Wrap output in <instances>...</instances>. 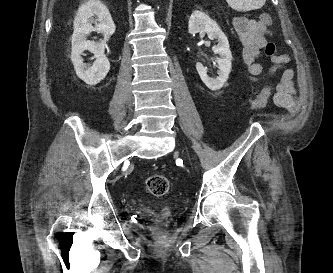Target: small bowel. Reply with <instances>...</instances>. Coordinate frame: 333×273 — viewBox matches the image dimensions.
<instances>
[{"label": "small bowel", "mask_w": 333, "mask_h": 273, "mask_svg": "<svg viewBox=\"0 0 333 273\" xmlns=\"http://www.w3.org/2000/svg\"><path fill=\"white\" fill-rule=\"evenodd\" d=\"M234 27L243 47L242 59L247 68V74L250 80L257 82L267 75H271L281 70L289 61L287 55L276 54L271 58L272 65L265 68L256 61L271 36L266 24L261 20L249 19L246 17H237L234 21ZM294 72L292 69H285L276 85L274 100L281 107L289 108L295 105Z\"/></svg>", "instance_id": "1"}]
</instances>
